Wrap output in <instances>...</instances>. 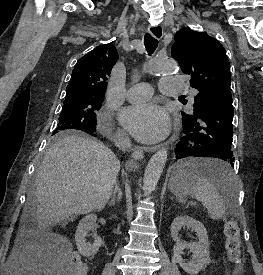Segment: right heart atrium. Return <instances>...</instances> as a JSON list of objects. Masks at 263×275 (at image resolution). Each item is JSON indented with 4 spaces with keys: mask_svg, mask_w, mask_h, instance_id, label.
I'll list each match as a JSON object with an SVG mask.
<instances>
[{
    "mask_svg": "<svg viewBox=\"0 0 263 275\" xmlns=\"http://www.w3.org/2000/svg\"><path fill=\"white\" fill-rule=\"evenodd\" d=\"M120 136H121V138H123V135H122V134H121Z\"/></svg>",
    "mask_w": 263,
    "mask_h": 275,
    "instance_id": "1",
    "label": "right heart atrium"
}]
</instances>
